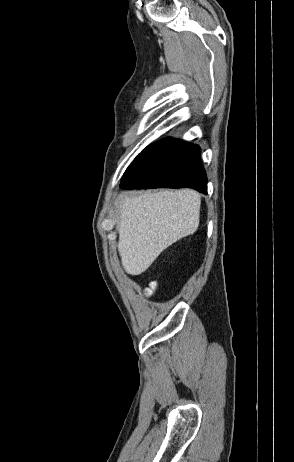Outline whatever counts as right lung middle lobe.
I'll return each instance as SVG.
<instances>
[{
    "mask_svg": "<svg viewBox=\"0 0 294 462\" xmlns=\"http://www.w3.org/2000/svg\"><path fill=\"white\" fill-rule=\"evenodd\" d=\"M150 146H151V145H150ZM148 147H149V146H147L145 149H147ZM145 149H144V150H145ZM144 150H143V151H144Z\"/></svg>",
    "mask_w": 294,
    "mask_h": 462,
    "instance_id": "obj_1",
    "label": "right lung middle lobe"
}]
</instances>
